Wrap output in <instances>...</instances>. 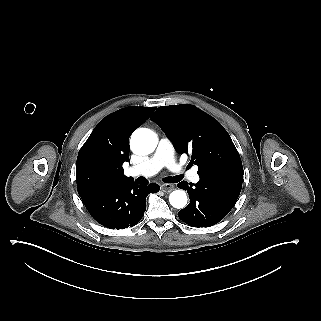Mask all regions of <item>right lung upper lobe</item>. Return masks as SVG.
<instances>
[{
  "instance_id": "right-lung-upper-lobe-1",
  "label": "right lung upper lobe",
  "mask_w": 321,
  "mask_h": 321,
  "mask_svg": "<svg viewBox=\"0 0 321 321\" xmlns=\"http://www.w3.org/2000/svg\"><path fill=\"white\" fill-rule=\"evenodd\" d=\"M156 107L130 106L106 116L80 149L76 164L80 196L95 190L132 183L122 167L129 162V137Z\"/></svg>"
}]
</instances>
